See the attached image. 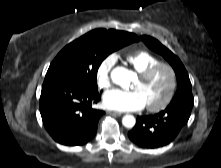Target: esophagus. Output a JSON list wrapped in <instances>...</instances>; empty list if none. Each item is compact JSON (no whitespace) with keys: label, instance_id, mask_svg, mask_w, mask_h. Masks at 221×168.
<instances>
[{"label":"esophagus","instance_id":"esophagus-1","mask_svg":"<svg viewBox=\"0 0 221 168\" xmlns=\"http://www.w3.org/2000/svg\"><path fill=\"white\" fill-rule=\"evenodd\" d=\"M110 114L115 115V116H121V112H115V111H109Z\"/></svg>","mask_w":221,"mask_h":168}]
</instances>
